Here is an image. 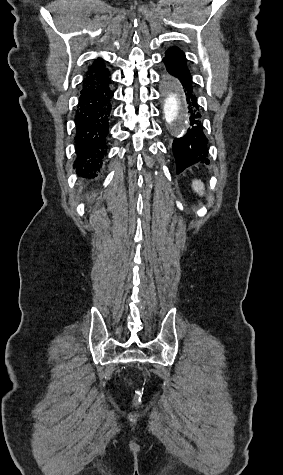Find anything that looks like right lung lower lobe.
<instances>
[{
    "instance_id": "1",
    "label": "right lung lower lobe",
    "mask_w": 283,
    "mask_h": 475,
    "mask_svg": "<svg viewBox=\"0 0 283 475\" xmlns=\"http://www.w3.org/2000/svg\"><path fill=\"white\" fill-rule=\"evenodd\" d=\"M81 88L74 116L77 154L74 167H78L79 175L95 177L107 153L106 140L112 117L113 91L108 69L87 71Z\"/></svg>"
}]
</instances>
